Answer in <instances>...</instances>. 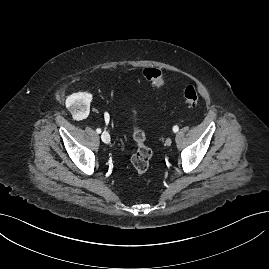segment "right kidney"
I'll use <instances>...</instances> for the list:
<instances>
[{"label":"right kidney","instance_id":"ca27d5eb","mask_svg":"<svg viewBox=\"0 0 269 269\" xmlns=\"http://www.w3.org/2000/svg\"><path fill=\"white\" fill-rule=\"evenodd\" d=\"M92 101V94L88 92H78V93H73L72 95L68 96L66 99V106L68 109L71 111H76L77 107H85L86 110H82L80 112V116L85 118L89 114V106Z\"/></svg>","mask_w":269,"mask_h":269}]
</instances>
